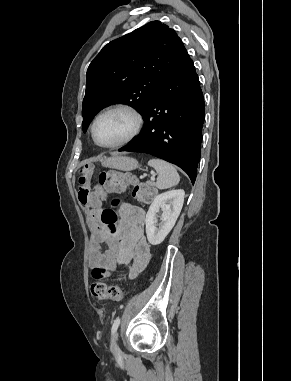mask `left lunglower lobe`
<instances>
[{"mask_svg":"<svg viewBox=\"0 0 291 381\" xmlns=\"http://www.w3.org/2000/svg\"><path fill=\"white\" fill-rule=\"evenodd\" d=\"M142 132L119 151L151 154L182 168L195 182L205 105L188 54L148 100Z\"/></svg>","mask_w":291,"mask_h":381,"instance_id":"1","label":"left lung lower lobe"}]
</instances>
